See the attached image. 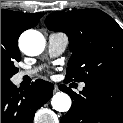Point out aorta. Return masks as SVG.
<instances>
[{
  "label": "aorta",
  "mask_w": 123,
  "mask_h": 123,
  "mask_svg": "<svg viewBox=\"0 0 123 123\" xmlns=\"http://www.w3.org/2000/svg\"><path fill=\"white\" fill-rule=\"evenodd\" d=\"M20 47L26 55L36 56L44 50L45 39L40 32L29 30L22 34ZM51 105L56 111L67 112L71 107V98L64 92H58L52 97Z\"/></svg>",
  "instance_id": "762f6f07"
}]
</instances>
